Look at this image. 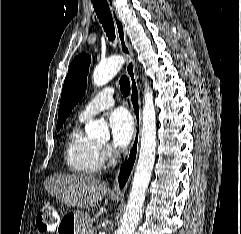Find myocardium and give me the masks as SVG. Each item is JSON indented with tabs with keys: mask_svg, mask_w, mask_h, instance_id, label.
<instances>
[{
	"mask_svg": "<svg viewBox=\"0 0 241 234\" xmlns=\"http://www.w3.org/2000/svg\"><path fill=\"white\" fill-rule=\"evenodd\" d=\"M101 151H102V154H103V148L101 147Z\"/></svg>",
	"mask_w": 241,
	"mask_h": 234,
	"instance_id": "myocardium-1",
	"label": "myocardium"
}]
</instances>
